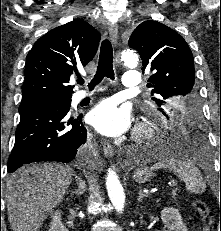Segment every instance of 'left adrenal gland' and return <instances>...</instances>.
<instances>
[{
  "mask_svg": "<svg viewBox=\"0 0 221 231\" xmlns=\"http://www.w3.org/2000/svg\"><path fill=\"white\" fill-rule=\"evenodd\" d=\"M147 195L142 192V190H139V196H138V202H141L144 197Z\"/></svg>",
  "mask_w": 221,
  "mask_h": 231,
  "instance_id": "left-adrenal-gland-1",
  "label": "left adrenal gland"
}]
</instances>
